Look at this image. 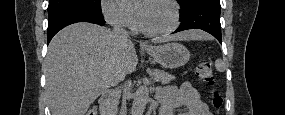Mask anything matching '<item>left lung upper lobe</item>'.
<instances>
[{
	"label": "left lung upper lobe",
	"mask_w": 285,
	"mask_h": 115,
	"mask_svg": "<svg viewBox=\"0 0 285 115\" xmlns=\"http://www.w3.org/2000/svg\"><path fill=\"white\" fill-rule=\"evenodd\" d=\"M194 0H177L179 3L181 10H183L189 3H191Z\"/></svg>",
	"instance_id": "5c2ea615"
}]
</instances>
